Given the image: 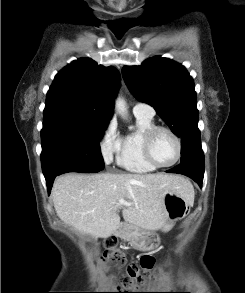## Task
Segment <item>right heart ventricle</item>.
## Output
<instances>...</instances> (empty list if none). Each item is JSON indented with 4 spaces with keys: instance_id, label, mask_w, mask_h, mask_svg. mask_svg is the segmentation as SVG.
<instances>
[{
    "instance_id": "right-heart-ventricle-1",
    "label": "right heart ventricle",
    "mask_w": 245,
    "mask_h": 293,
    "mask_svg": "<svg viewBox=\"0 0 245 293\" xmlns=\"http://www.w3.org/2000/svg\"><path fill=\"white\" fill-rule=\"evenodd\" d=\"M136 127L129 130L122 138V145L117 154V165L132 173H149L157 168L151 165L144 157L142 150L143 135L156 126L154 115L134 114Z\"/></svg>"
}]
</instances>
